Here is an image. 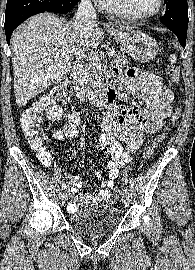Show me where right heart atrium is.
<instances>
[{
	"label": "right heart atrium",
	"instance_id": "d8ad5b80",
	"mask_svg": "<svg viewBox=\"0 0 195 270\" xmlns=\"http://www.w3.org/2000/svg\"><path fill=\"white\" fill-rule=\"evenodd\" d=\"M91 1L96 2V3L100 4V6H101V4H102V2H103L104 0H91Z\"/></svg>",
	"mask_w": 195,
	"mask_h": 270
}]
</instances>
